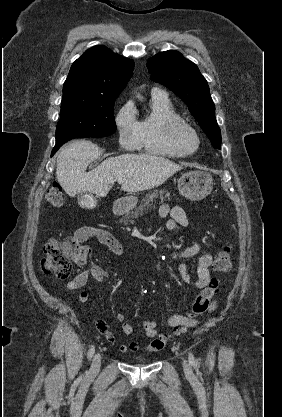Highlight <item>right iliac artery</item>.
<instances>
[{"label": "right iliac artery", "mask_w": 282, "mask_h": 417, "mask_svg": "<svg viewBox=\"0 0 282 417\" xmlns=\"http://www.w3.org/2000/svg\"><path fill=\"white\" fill-rule=\"evenodd\" d=\"M94 352H95V347L92 345L87 354L89 360H91V358L93 357Z\"/></svg>", "instance_id": "82829eb1"}]
</instances>
